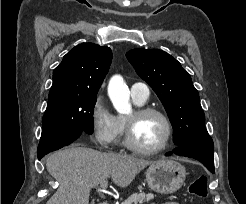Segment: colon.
Segmentation results:
<instances>
[{"label": "colon", "instance_id": "1", "mask_svg": "<svg viewBox=\"0 0 246 204\" xmlns=\"http://www.w3.org/2000/svg\"><path fill=\"white\" fill-rule=\"evenodd\" d=\"M191 195L204 198L208 194V180L205 176H200L193 180L188 188Z\"/></svg>", "mask_w": 246, "mask_h": 204}]
</instances>
